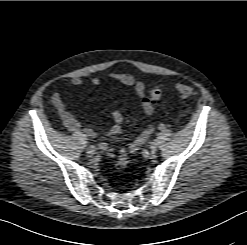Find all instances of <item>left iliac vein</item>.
<instances>
[{
	"instance_id": "4c4485c4",
	"label": "left iliac vein",
	"mask_w": 247,
	"mask_h": 245,
	"mask_svg": "<svg viewBox=\"0 0 247 245\" xmlns=\"http://www.w3.org/2000/svg\"><path fill=\"white\" fill-rule=\"evenodd\" d=\"M157 146H158V144H157L156 141L152 142V144H151V146H150V150H151V153H152V154L156 152Z\"/></svg>"
}]
</instances>
